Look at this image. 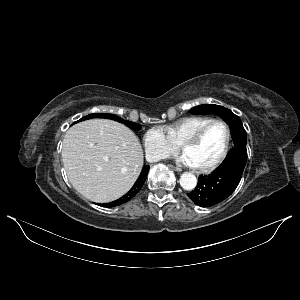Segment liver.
<instances>
[{
	"label": "liver",
	"instance_id": "obj_1",
	"mask_svg": "<svg viewBox=\"0 0 300 300\" xmlns=\"http://www.w3.org/2000/svg\"><path fill=\"white\" fill-rule=\"evenodd\" d=\"M61 156L72 186L97 203L126 194L144 162L137 136L109 119H90L72 126L64 136Z\"/></svg>",
	"mask_w": 300,
	"mask_h": 300
}]
</instances>
